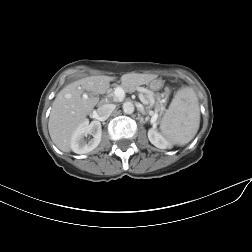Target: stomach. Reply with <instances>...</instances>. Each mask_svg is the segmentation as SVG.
Here are the masks:
<instances>
[{"label":"stomach","instance_id":"obj_1","mask_svg":"<svg viewBox=\"0 0 252 252\" xmlns=\"http://www.w3.org/2000/svg\"><path fill=\"white\" fill-rule=\"evenodd\" d=\"M162 86H163V82L158 79L152 80L149 84V87L152 90H159L162 88Z\"/></svg>","mask_w":252,"mask_h":252}]
</instances>
